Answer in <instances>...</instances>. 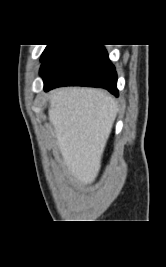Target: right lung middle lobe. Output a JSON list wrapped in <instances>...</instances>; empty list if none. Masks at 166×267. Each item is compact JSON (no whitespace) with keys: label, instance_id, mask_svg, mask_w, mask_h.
Returning <instances> with one entry per match:
<instances>
[{"label":"right lung middle lobe","instance_id":"obj_1","mask_svg":"<svg viewBox=\"0 0 166 267\" xmlns=\"http://www.w3.org/2000/svg\"><path fill=\"white\" fill-rule=\"evenodd\" d=\"M53 46H54V45H47V47L45 48L44 52L42 53L41 60L46 56V54L50 51V49H51Z\"/></svg>","mask_w":166,"mask_h":267}]
</instances>
